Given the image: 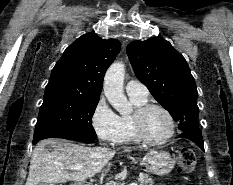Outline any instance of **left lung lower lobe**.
I'll return each instance as SVG.
<instances>
[{
    "label": "left lung lower lobe",
    "instance_id": "left-lung-lower-lobe-1",
    "mask_svg": "<svg viewBox=\"0 0 233 185\" xmlns=\"http://www.w3.org/2000/svg\"><path fill=\"white\" fill-rule=\"evenodd\" d=\"M180 137L187 138L193 141L204 151V143H203L202 133L200 129L196 128V129L185 131L180 135Z\"/></svg>",
    "mask_w": 233,
    "mask_h": 185
}]
</instances>
